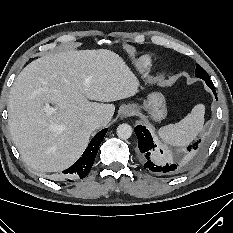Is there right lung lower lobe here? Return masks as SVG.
Segmentation results:
<instances>
[{
	"label": "right lung lower lobe",
	"instance_id": "right-lung-lower-lobe-1",
	"mask_svg": "<svg viewBox=\"0 0 233 233\" xmlns=\"http://www.w3.org/2000/svg\"><path fill=\"white\" fill-rule=\"evenodd\" d=\"M106 132L107 128L98 132L91 140L82 156L71 167L63 172L65 174V177L68 178V181H72V179L76 178L83 179L90 172L100 143L102 142Z\"/></svg>",
	"mask_w": 233,
	"mask_h": 233
}]
</instances>
